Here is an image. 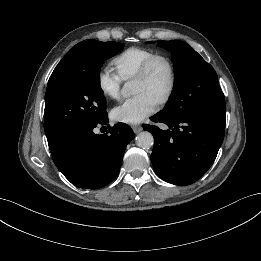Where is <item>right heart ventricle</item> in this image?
I'll list each match as a JSON object with an SVG mask.
<instances>
[{
	"label": "right heart ventricle",
	"instance_id": "right-heart-ventricle-1",
	"mask_svg": "<svg viewBox=\"0 0 261 261\" xmlns=\"http://www.w3.org/2000/svg\"><path fill=\"white\" fill-rule=\"evenodd\" d=\"M157 52L144 47H129L112 60L117 74L122 80L135 77L143 65Z\"/></svg>",
	"mask_w": 261,
	"mask_h": 261
}]
</instances>
